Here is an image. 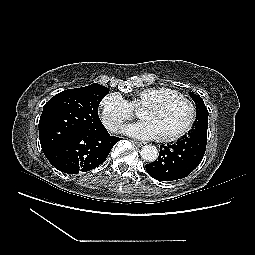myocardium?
Here are the masks:
<instances>
[{
    "mask_svg": "<svg viewBox=\"0 0 255 255\" xmlns=\"http://www.w3.org/2000/svg\"><path fill=\"white\" fill-rule=\"evenodd\" d=\"M174 99L180 100L188 106L189 111H190L189 119H188L186 125L182 129H180L172 134H169V135L159 136L158 141H160V142H171V141H175V140L185 136L187 133H189L191 131V129L193 128V126L196 122V118H197L196 105L189 97H187L186 95H184L181 92L173 91L169 94L162 95V96L158 97L157 99H155L154 101L144 105L143 107H159L162 104H164L168 101L174 100Z\"/></svg>",
    "mask_w": 255,
    "mask_h": 255,
    "instance_id": "obj_1",
    "label": "myocardium"
}]
</instances>
